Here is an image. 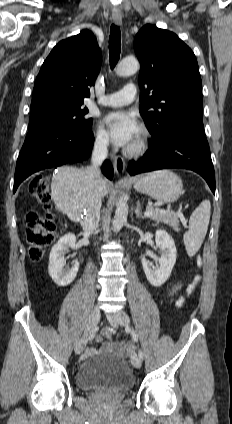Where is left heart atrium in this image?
<instances>
[{"instance_id": "39dd6f15", "label": "left heart atrium", "mask_w": 232, "mask_h": 424, "mask_svg": "<svg viewBox=\"0 0 232 424\" xmlns=\"http://www.w3.org/2000/svg\"><path fill=\"white\" fill-rule=\"evenodd\" d=\"M112 141L118 146H129L139 136L140 128L133 115L113 112L105 119Z\"/></svg>"}]
</instances>
